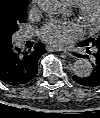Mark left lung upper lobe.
Listing matches in <instances>:
<instances>
[{
  "instance_id": "obj_1",
  "label": "left lung upper lobe",
  "mask_w": 100,
  "mask_h": 118,
  "mask_svg": "<svg viewBox=\"0 0 100 118\" xmlns=\"http://www.w3.org/2000/svg\"><path fill=\"white\" fill-rule=\"evenodd\" d=\"M97 40H100V36L98 38H91L89 40H87L86 42H94V41H97Z\"/></svg>"
}]
</instances>
